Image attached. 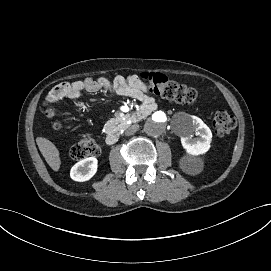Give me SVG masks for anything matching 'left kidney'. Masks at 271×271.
<instances>
[{"instance_id":"obj_1","label":"left kidney","mask_w":271,"mask_h":271,"mask_svg":"<svg viewBox=\"0 0 271 271\" xmlns=\"http://www.w3.org/2000/svg\"><path fill=\"white\" fill-rule=\"evenodd\" d=\"M187 123L189 131L181 133V143L189 155H199L207 152L212 141V133L209 127L198 117L189 115ZM193 132L199 135V138L193 139Z\"/></svg>"}]
</instances>
